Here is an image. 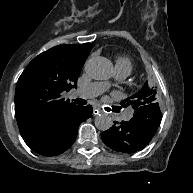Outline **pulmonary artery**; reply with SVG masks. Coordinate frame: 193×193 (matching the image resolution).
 <instances>
[{
    "instance_id": "obj_1",
    "label": "pulmonary artery",
    "mask_w": 193,
    "mask_h": 193,
    "mask_svg": "<svg viewBox=\"0 0 193 193\" xmlns=\"http://www.w3.org/2000/svg\"><path fill=\"white\" fill-rule=\"evenodd\" d=\"M129 75V73L127 72H118L117 73V79L118 80H123L125 79L127 76ZM104 88L102 83L100 82H93L91 84H89L87 87H80L77 89L76 92H74L72 95L76 96V95H81V96H85V97H97L99 95H101L104 92ZM126 120L130 118V114H126L124 117Z\"/></svg>"
}]
</instances>
